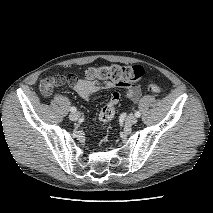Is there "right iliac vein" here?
Instances as JSON below:
<instances>
[{
	"label": "right iliac vein",
	"instance_id": "right-iliac-vein-1",
	"mask_svg": "<svg viewBox=\"0 0 213 213\" xmlns=\"http://www.w3.org/2000/svg\"><path fill=\"white\" fill-rule=\"evenodd\" d=\"M70 120L77 121L80 118V114L77 112H73L69 115Z\"/></svg>",
	"mask_w": 213,
	"mask_h": 213
}]
</instances>
